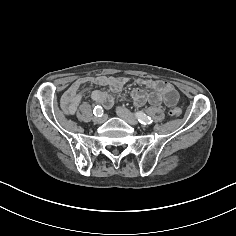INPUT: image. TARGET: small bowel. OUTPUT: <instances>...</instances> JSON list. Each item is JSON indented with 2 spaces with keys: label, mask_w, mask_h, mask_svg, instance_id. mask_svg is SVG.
Masks as SVG:
<instances>
[{
  "label": "small bowel",
  "mask_w": 236,
  "mask_h": 236,
  "mask_svg": "<svg viewBox=\"0 0 236 236\" xmlns=\"http://www.w3.org/2000/svg\"><path fill=\"white\" fill-rule=\"evenodd\" d=\"M87 81H91L99 86H106L110 92L100 89L91 90V98L94 102L104 109H110L114 101L121 96L122 89L128 82L125 77L97 76L91 79H78L73 82L64 92L61 98L62 106L68 114L74 113L77 105L83 98L84 92L81 87ZM137 84L142 88L134 89L131 96L137 106H143L149 103L153 106H159L164 103L167 106H173L178 101V93L175 88L168 82L139 79Z\"/></svg>",
  "instance_id": "c3829d8e"
}]
</instances>
